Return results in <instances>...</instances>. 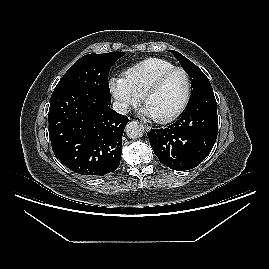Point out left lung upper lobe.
<instances>
[{
  "mask_svg": "<svg viewBox=\"0 0 269 269\" xmlns=\"http://www.w3.org/2000/svg\"><path fill=\"white\" fill-rule=\"evenodd\" d=\"M171 53L176 57V59L180 62L183 69L192 79V86H193L192 97H194L195 95H197L198 93L207 88H212L208 78L193 62L188 60L186 57H184L177 51L171 50Z\"/></svg>",
  "mask_w": 269,
  "mask_h": 269,
  "instance_id": "5c2ea615",
  "label": "left lung upper lobe"
}]
</instances>
